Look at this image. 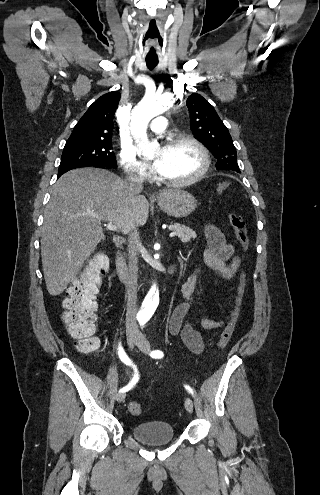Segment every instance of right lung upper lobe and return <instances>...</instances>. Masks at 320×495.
<instances>
[{"label":"right lung upper lobe","instance_id":"right-lung-upper-lobe-1","mask_svg":"<svg viewBox=\"0 0 320 495\" xmlns=\"http://www.w3.org/2000/svg\"><path fill=\"white\" fill-rule=\"evenodd\" d=\"M120 97L118 91H112L98 98L75 125L67 142H111L113 119Z\"/></svg>","mask_w":320,"mask_h":495}]
</instances>
